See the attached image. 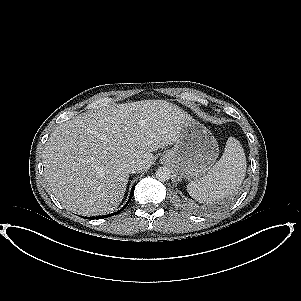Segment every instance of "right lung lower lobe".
I'll list each match as a JSON object with an SVG mask.
<instances>
[{
  "instance_id": "obj_1",
  "label": "right lung lower lobe",
  "mask_w": 301,
  "mask_h": 301,
  "mask_svg": "<svg viewBox=\"0 0 301 301\" xmlns=\"http://www.w3.org/2000/svg\"><path fill=\"white\" fill-rule=\"evenodd\" d=\"M133 194H134V187H132V189H131V194H130L129 200L127 201V203L125 204V206H124L120 211H122V210L129 204V202H130L131 199H132ZM120 211H119V212H120ZM116 213H118V212H116ZM116 213H115V214H116ZM112 215H114V213H113V214H110V215H106V216L104 215V216L91 217V219H94V218H96V219L107 218V217H110V216H112Z\"/></svg>"
}]
</instances>
